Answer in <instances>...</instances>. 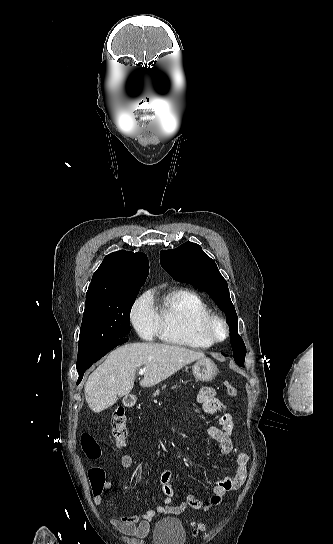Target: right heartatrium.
Listing matches in <instances>:
<instances>
[{"mask_svg": "<svg viewBox=\"0 0 333 544\" xmlns=\"http://www.w3.org/2000/svg\"><path fill=\"white\" fill-rule=\"evenodd\" d=\"M132 324L137 333L146 340H152L159 333V318L150 294L142 295L131 312Z\"/></svg>", "mask_w": 333, "mask_h": 544, "instance_id": "d8ad5b80", "label": "right heart atrium"}]
</instances>
